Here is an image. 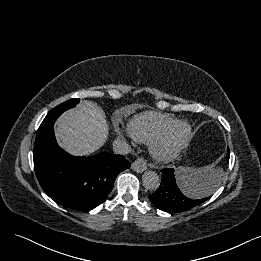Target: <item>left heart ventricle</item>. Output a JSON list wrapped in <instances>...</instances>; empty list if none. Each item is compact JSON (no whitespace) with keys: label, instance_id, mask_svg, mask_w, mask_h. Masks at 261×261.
<instances>
[{"label":"left heart ventricle","instance_id":"b2bd125f","mask_svg":"<svg viewBox=\"0 0 261 261\" xmlns=\"http://www.w3.org/2000/svg\"><path fill=\"white\" fill-rule=\"evenodd\" d=\"M184 132H185L184 128L179 129V131L177 132L175 138L179 139L184 134Z\"/></svg>","mask_w":261,"mask_h":261}]
</instances>
